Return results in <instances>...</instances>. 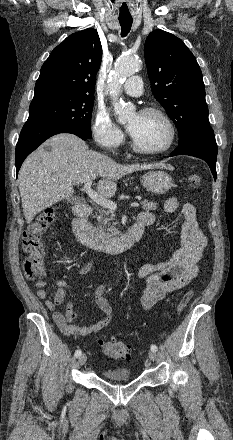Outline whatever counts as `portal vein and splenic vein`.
<instances>
[{
    "label": "portal vein and splenic vein",
    "instance_id": "portal-vein-and-splenic-vein-1",
    "mask_svg": "<svg viewBox=\"0 0 233 440\" xmlns=\"http://www.w3.org/2000/svg\"><path fill=\"white\" fill-rule=\"evenodd\" d=\"M92 185V178L86 179L84 182V188L83 190L86 192V194L98 205L108 208L110 210H116L117 204L111 200L105 199L102 195L98 194L96 191H94L91 188ZM131 207H139V203H132Z\"/></svg>",
    "mask_w": 233,
    "mask_h": 440
}]
</instances>
